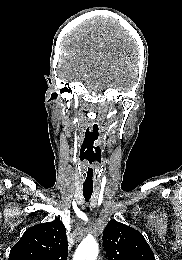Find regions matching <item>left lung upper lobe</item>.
I'll use <instances>...</instances> for the list:
<instances>
[{
	"mask_svg": "<svg viewBox=\"0 0 182 260\" xmlns=\"http://www.w3.org/2000/svg\"><path fill=\"white\" fill-rule=\"evenodd\" d=\"M103 244L108 260H155L139 231L114 220L104 229Z\"/></svg>",
	"mask_w": 182,
	"mask_h": 260,
	"instance_id": "obj_1",
	"label": "left lung upper lobe"
}]
</instances>
